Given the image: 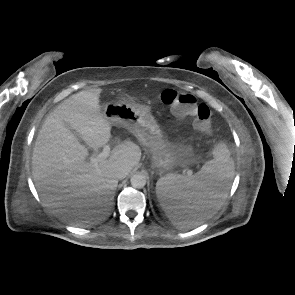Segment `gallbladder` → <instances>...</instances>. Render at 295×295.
<instances>
[{
    "mask_svg": "<svg viewBox=\"0 0 295 295\" xmlns=\"http://www.w3.org/2000/svg\"><path fill=\"white\" fill-rule=\"evenodd\" d=\"M74 134H75L76 136H79L76 132H74Z\"/></svg>",
    "mask_w": 295,
    "mask_h": 295,
    "instance_id": "bac80fb5",
    "label": "gallbladder"
}]
</instances>
